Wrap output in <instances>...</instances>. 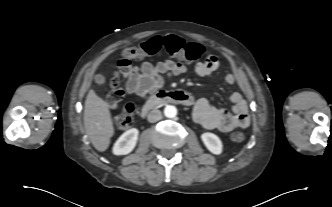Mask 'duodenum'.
<instances>
[{
	"mask_svg": "<svg viewBox=\"0 0 332 207\" xmlns=\"http://www.w3.org/2000/svg\"><path fill=\"white\" fill-rule=\"evenodd\" d=\"M167 103L191 106L194 104V100L188 92L183 90L159 91L142 106L141 115L145 116L154 108Z\"/></svg>",
	"mask_w": 332,
	"mask_h": 207,
	"instance_id": "410a0bca",
	"label": "duodenum"
}]
</instances>
